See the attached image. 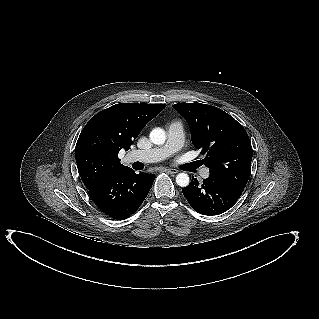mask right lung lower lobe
<instances>
[{
  "mask_svg": "<svg viewBox=\"0 0 319 319\" xmlns=\"http://www.w3.org/2000/svg\"><path fill=\"white\" fill-rule=\"evenodd\" d=\"M154 179L153 174H136L132 169L126 168L89 189V194L107 216L124 219L139 208Z\"/></svg>",
  "mask_w": 319,
  "mask_h": 319,
  "instance_id": "obj_1",
  "label": "right lung lower lobe"
}]
</instances>
